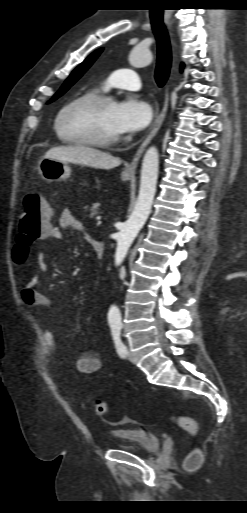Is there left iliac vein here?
<instances>
[{
	"label": "left iliac vein",
	"mask_w": 247,
	"mask_h": 513,
	"mask_svg": "<svg viewBox=\"0 0 247 513\" xmlns=\"http://www.w3.org/2000/svg\"><path fill=\"white\" fill-rule=\"evenodd\" d=\"M127 353H128V358H129V360H130L132 363H135V362H136V360H135V358L133 357V354H132L130 351H128Z\"/></svg>",
	"instance_id": "4c4485c4"
}]
</instances>
